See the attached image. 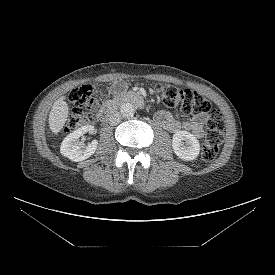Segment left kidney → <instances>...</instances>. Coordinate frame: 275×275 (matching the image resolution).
Returning <instances> with one entry per match:
<instances>
[{
    "label": "left kidney",
    "instance_id": "left-kidney-1",
    "mask_svg": "<svg viewBox=\"0 0 275 275\" xmlns=\"http://www.w3.org/2000/svg\"><path fill=\"white\" fill-rule=\"evenodd\" d=\"M172 147L174 153L182 160H194L200 152L197 138L187 131H177L173 135Z\"/></svg>",
    "mask_w": 275,
    "mask_h": 275
}]
</instances>
